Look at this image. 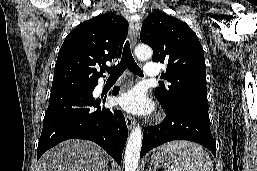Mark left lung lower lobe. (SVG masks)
Masks as SVG:
<instances>
[{
	"label": "left lung lower lobe",
	"mask_w": 257,
	"mask_h": 171,
	"mask_svg": "<svg viewBox=\"0 0 257 171\" xmlns=\"http://www.w3.org/2000/svg\"><path fill=\"white\" fill-rule=\"evenodd\" d=\"M167 113L163 123L144 130L140 158L149 150L172 140L199 143L216 156V144L210 131L206 104L194 101L160 102Z\"/></svg>",
	"instance_id": "left-lung-lower-lobe-1"
}]
</instances>
